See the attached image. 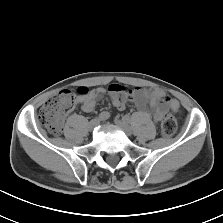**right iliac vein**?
I'll list each match as a JSON object with an SVG mask.
<instances>
[{
    "mask_svg": "<svg viewBox=\"0 0 223 223\" xmlns=\"http://www.w3.org/2000/svg\"><path fill=\"white\" fill-rule=\"evenodd\" d=\"M99 124V120L98 119H93L89 122L88 124V129L90 131H92L97 125Z\"/></svg>",
    "mask_w": 223,
    "mask_h": 223,
    "instance_id": "1",
    "label": "right iliac vein"
}]
</instances>
